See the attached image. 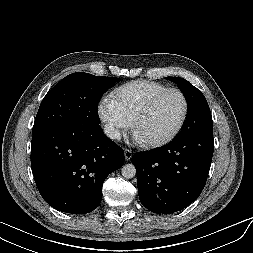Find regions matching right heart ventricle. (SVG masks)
<instances>
[{
  "mask_svg": "<svg viewBox=\"0 0 253 253\" xmlns=\"http://www.w3.org/2000/svg\"><path fill=\"white\" fill-rule=\"evenodd\" d=\"M168 87L151 80H135L117 88L114 92L116 101L126 121L132 125L145 104L157 93Z\"/></svg>",
  "mask_w": 253,
  "mask_h": 253,
  "instance_id": "right-heart-ventricle-1",
  "label": "right heart ventricle"
}]
</instances>
